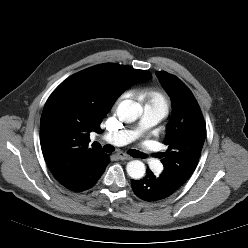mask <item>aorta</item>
I'll use <instances>...</instances> for the list:
<instances>
[{"label":"aorta","mask_w":248,"mask_h":248,"mask_svg":"<svg viewBox=\"0 0 248 248\" xmlns=\"http://www.w3.org/2000/svg\"><path fill=\"white\" fill-rule=\"evenodd\" d=\"M117 116L121 121L131 123L141 115V107L132 100H123L117 107ZM128 175L135 180L141 179L146 171L145 165L139 160L130 161L126 167Z\"/></svg>","instance_id":"obj_1"}]
</instances>
